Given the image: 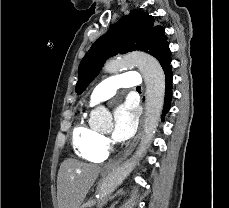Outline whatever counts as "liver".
I'll list each match as a JSON object with an SVG mask.
<instances>
[{"mask_svg":"<svg viewBox=\"0 0 229 208\" xmlns=\"http://www.w3.org/2000/svg\"><path fill=\"white\" fill-rule=\"evenodd\" d=\"M100 172L108 174L100 166L83 164L73 158L64 160L58 172V208H80Z\"/></svg>","mask_w":229,"mask_h":208,"instance_id":"1","label":"liver"}]
</instances>
